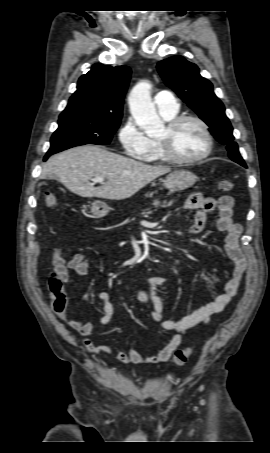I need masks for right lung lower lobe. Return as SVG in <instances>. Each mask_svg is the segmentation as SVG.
<instances>
[{
  "instance_id": "98d812e1",
  "label": "right lung lower lobe",
  "mask_w": 270,
  "mask_h": 453,
  "mask_svg": "<svg viewBox=\"0 0 270 453\" xmlns=\"http://www.w3.org/2000/svg\"><path fill=\"white\" fill-rule=\"evenodd\" d=\"M51 154H46V156L44 157V161L47 160V158L50 156Z\"/></svg>"
}]
</instances>
